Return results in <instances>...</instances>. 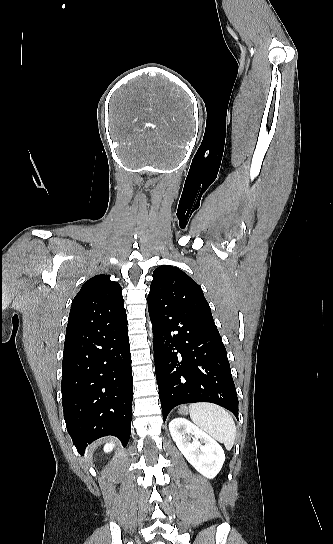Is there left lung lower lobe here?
Listing matches in <instances>:
<instances>
[{"instance_id":"left-lung-lower-lobe-1","label":"left lung lower lobe","mask_w":333,"mask_h":544,"mask_svg":"<svg viewBox=\"0 0 333 544\" xmlns=\"http://www.w3.org/2000/svg\"><path fill=\"white\" fill-rule=\"evenodd\" d=\"M159 398L166 420L177 405L211 402L238 418V398L214 321L148 302Z\"/></svg>"}]
</instances>
